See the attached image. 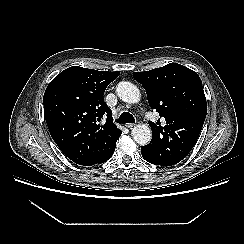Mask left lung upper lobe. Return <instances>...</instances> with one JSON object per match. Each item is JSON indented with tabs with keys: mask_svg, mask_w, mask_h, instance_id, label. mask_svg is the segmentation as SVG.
I'll use <instances>...</instances> for the list:
<instances>
[{
	"mask_svg": "<svg viewBox=\"0 0 244 244\" xmlns=\"http://www.w3.org/2000/svg\"><path fill=\"white\" fill-rule=\"evenodd\" d=\"M133 77L146 90L149 104L165 125L149 121L152 140L146 148L153 155V164L171 166L184 159L199 137L207 114L202 81L193 70L170 63Z\"/></svg>",
	"mask_w": 244,
	"mask_h": 244,
	"instance_id": "1",
	"label": "left lung upper lobe"
}]
</instances>
